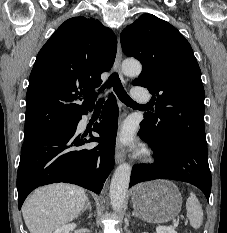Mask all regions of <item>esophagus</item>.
<instances>
[{
    "label": "esophagus",
    "instance_id": "esophagus-1",
    "mask_svg": "<svg viewBox=\"0 0 227 233\" xmlns=\"http://www.w3.org/2000/svg\"><path fill=\"white\" fill-rule=\"evenodd\" d=\"M121 61H122V48H121L120 38H118L117 53L114 62V70L119 73L121 81L126 85L128 83V79L121 73ZM125 156H126V151L124 147L117 142L115 149V162L117 164L123 162L125 160Z\"/></svg>",
    "mask_w": 227,
    "mask_h": 233
}]
</instances>
